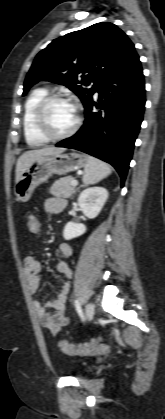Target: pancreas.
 <instances>
[{
  "mask_svg": "<svg viewBox=\"0 0 165 419\" xmlns=\"http://www.w3.org/2000/svg\"><path fill=\"white\" fill-rule=\"evenodd\" d=\"M73 177L67 176L56 180L50 188V194L56 197L69 198L74 192L75 187L71 185Z\"/></svg>",
  "mask_w": 165,
  "mask_h": 419,
  "instance_id": "1",
  "label": "pancreas"
}]
</instances>
